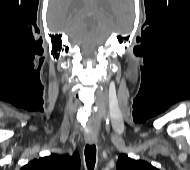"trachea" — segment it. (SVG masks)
<instances>
[{
    "instance_id": "trachea-1",
    "label": "trachea",
    "mask_w": 190,
    "mask_h": 170,
    "mask_svg": "<svg viewBox=\"0 0 190 170\" xmlns=\"http://www.w3.org/2000/svg\"><path fill=\"white\" fill-rule=\"evenodd\" d=\"M85 160L89 170H93L96 163V146L86 145L85 147Z\"/></svg>"
}]
</instances>
